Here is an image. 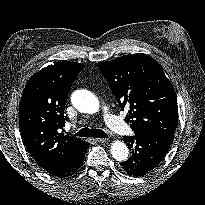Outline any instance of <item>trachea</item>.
I'll list each match as a JSON object with an SVG mask.
<instances>
[{
    "label": "trachea",
    "mask_w": 205,
    "mask_h": 205,
    "mask_svg": "<svg viewBox=\"0 0 205 205\" xmlns=\"http://www.w3.org/2000/svg\"><path fill=\"white\" fill-rule=\"evenodd\" d=\"M75 136L80 137H94V138H108V135L100 129H93V128H82L77 133H75Z\"/></svg>",
    "instance_id": "1"
}]
</instances>
